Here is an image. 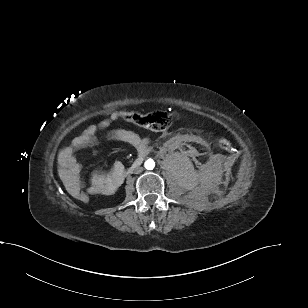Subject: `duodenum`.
Listing matches in <instances>:
<instances>
[{
  "label": "duodenum",
  "mask_w": 308,
  "mask_h": 308,
  "mask_svg": "<svg viewBox=\"0 0 308 308\" xmlns=\"http://www.w3.org/2000/svg\"><path fill=\"white\" fill-rule=\"evenodd\" d=\"M141 164V158H138L134 161V163L123 173L124 176H127L132 173V171Z\"/></svg>",
  "instance_id": "1"
}]
</instances>
